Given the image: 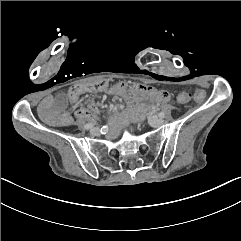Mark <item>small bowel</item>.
Here are the masks:
<instances>
[{
  "mask_svg": "<svg viewBox=\"0 0 241 241\" xmlns=\"http://www.w3.org/2000/svg\"><path fill=\"white\" fill-rule=\"evenodd\" d=\"M107 85V91L106 93L115 95V96H124L125 95V85L123 83H117V84H110L108 81ZM134 96L136 98L145 100L149 103H166L171 100L172 94L169 89L166 88H151L142 84L136 85L133 90ZM83 94V93H82ZM52 106V100L48 96H43L39 100V104L37 105V110L39 113L36 115V121L41 126H52L55 124L56 116L52 112H48L50 110V107ZM90 111H88V115L86 116V119H94L96 108L93 104H90L89 106ZM73 119L71 117H68L66 120H64L62 123L65 125L68 122H71Z\"/></svg>",
  "mask_w": 241,
  "mask_h": 241,
  "instance_id": "small-bowel-1",
  "label": "small bowel"
}]
</instances>
